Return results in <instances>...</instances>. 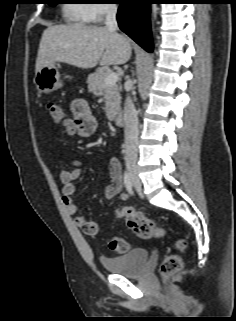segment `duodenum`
Here are the masks:
<instances>
[{
  "label": "duodenum",
  "mask_w": 236,
  "mask_h": 321,
  "mask_svg": "<svg viewBox=\"0 0 236 321\" xmlns=\"http://www.w3.org/2000/svg\"><path fill=\"white\" fill-rule=\"evenodd\" d=\"M112 120L117 126H123L124 125V116L121 113H115L112 116Z\"/></svg>",
  "instance_id": "duodenum-1"
}]
</instances>
